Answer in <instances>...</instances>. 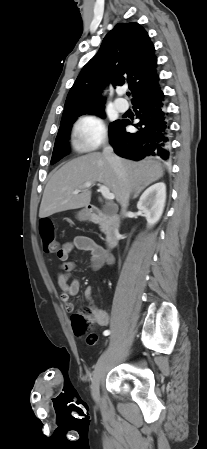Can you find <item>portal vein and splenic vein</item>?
I'll return each mask as SVG.
<instances>
[{
    "mask_svg": "<svg viewBox=\"0 0 207 449\" xmlns=\"http://www.w3.org/2000/svg\"><path fill=\"white\" fill-rule=\"evenodd\" d=\"M92 185H93V182H91V181L86 182V183H84L80 188L76 189V190L73 192V194H78V193L80 192L81 189H83V188H89V187H91ZM99 191L101 192L102 196H103L105 199L112 200V199L115 198V195H114L113 193H111L110 190H109V188L106 187L105 185L99 184Z\"/></svg>",
    "mask_w": 207,
    "mask_h": 449,
    "instance_id": "obj_1",
    "label": "portal vein and splenic vein"
}]
</instances>
